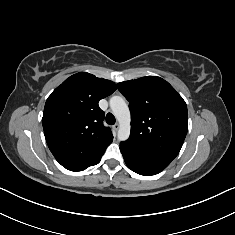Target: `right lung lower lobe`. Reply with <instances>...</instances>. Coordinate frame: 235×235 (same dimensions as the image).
Instances as JSON below:
<instances>
[{"instance_id":"right-lung-lower-lobe-1","label":"right lung lower lobe","mask_w":235,"mask_h":235,"mask_svg":"<svg viewBox=\"0 0 235 235\" xmlns=\"http://www.w3.org/2000/svg\"><path fill=\"white\" fill-rule=\"evenodd\" d=\"M102 155L97 157L95 160H93V161H91V162H89L87 164L74 165V166H65V168L70 170V171H83V170L87 169L90 166L98 164L100 162V160H101Z\"/></svg>"}]
</instances>
